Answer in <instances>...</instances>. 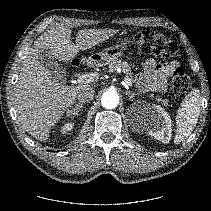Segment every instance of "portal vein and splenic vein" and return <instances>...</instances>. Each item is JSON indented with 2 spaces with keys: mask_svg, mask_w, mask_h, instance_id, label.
Segmentation results:
<instances>
[{
  "mask_svg": "<svg viewBox=\"0 0 211 211\" xmlns=\"http://www.w3.org/2000/svg\"><path fill=\"white\" fill-rule=\"evenodd\" d=\"M94 78H96V74L94 73H90V74H83V75H80L77 79V82L78 83H82V82H90L92 81ZM124 81L125 83L127 84V86H132V82H131V79L128 77V76H125L124 77Z\"/></svg>",
  "mask_w": 211,
  "mask_h": 211,
  "instance_id": "obj_1",
  "label": "portal vein and splenic vein"
}]
</instances>
